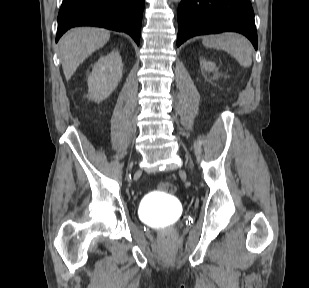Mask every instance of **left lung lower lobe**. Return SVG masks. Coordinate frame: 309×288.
<instances>
[{
	"mask_svg": "<svg viewBox=\"0 0 309 288\" xmlns=\"http://www.w3.org/2000/svg\"><path fill=\"white\" fill-rule=\"evenodd\" d=\"M234 31L257 49L254 12L249 0H182L178 7L177 46L204 34Z\"/></svg>",
	"mask_w": 309,
	"mask_h": 288,
	"instance_id": "1",
	"label": "left lung lower lobe"
}]
</instances>
